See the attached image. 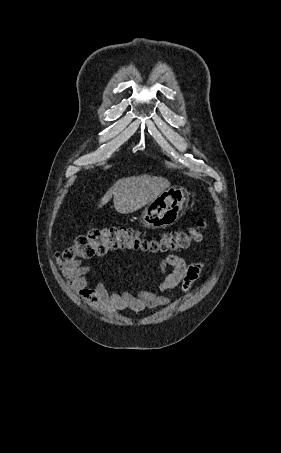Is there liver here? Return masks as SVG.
<instances>
[{
  "instance_id": "liver-1",
  "label": "liver",
  "mask_w": 281,
  "mask_h": 453,
  "mask_svg": "<svg viewBox=\"0 0 281 453\" xmlns=\"http://www.w3.org/2000/svg\"><path fill=\"white\" fill-rule=\"evenodd\" d=\"M170 186L168 178L163 176H151V174H142V176H128V178H119L113 186L105 192L98 206L107 204L110 198L114 196L113 202L115 210L121 214L134 212L148 204L153 198H157L162 190Z\"/></svg>"
}]
</instances>
